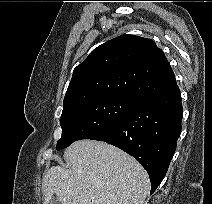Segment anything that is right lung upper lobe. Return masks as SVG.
<instances>
[{"label":"right lung upper lobe","instance_id":"right-lung-upper-lobe-1","mask_svg":"<svg viewBox=\"0 0 212 204\" xmlns=\"http://www.w3.org/2000/svg\"><path fill=\"white\" fill-rule=\"evenodd\" d=\"M175 85L164 53L152 40L121 35L98 46L74 69L63 108L108 96L139 102Z\"/></svg>","mask_w":212,"mask_h":204}]
</instances>
